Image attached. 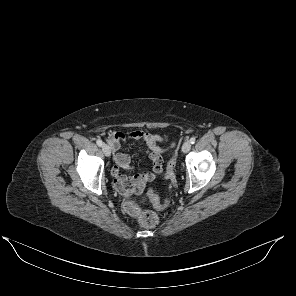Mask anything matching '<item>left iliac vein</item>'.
Here are the masks:
<instances>
[{"label":"left iliac vein","mask_w":296,"mask_h":296,"mask_svg":"<svg viewBox=\"0 0 296 296\" xmlns=\"http://www.w3.org/2000/svg\"><path fill=\"white\" fill-rule=\"evenodd\" d=\"M190 148H191V143L189 141H186L182 146L183 153L189 152Z\"/></svg>","instance_id":"obj_1"}]
</instances>
